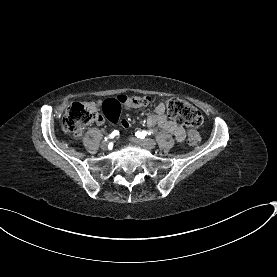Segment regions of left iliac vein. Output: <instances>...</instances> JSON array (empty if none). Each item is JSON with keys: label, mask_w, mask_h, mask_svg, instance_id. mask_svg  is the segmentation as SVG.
Here are the masks:
<instances>
[{"label": "left iliac vein", "mask_w": 277, "mask_h": 277, "mask_svg": "<svg viewBox=\"0 0 277 277\" xmlns=\"http://www.w3.org/2000/svg\"><path fill=\"white\" fill-rule=\"evenodd\" d=\"M130 141L140 144L147 149H154L156 146V142L153 139L130 138Z\"/></svg>", "instance_id": "left-iliac-vein-1"}]
</instances>
